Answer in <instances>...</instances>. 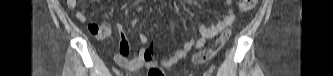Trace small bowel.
<instances>
[{
  "label": "small bowel",
  "instance_id": "1",
  "mask_svg": "<svg viewBox=\"0 0 333 76\" xmlns=\"http://www.w3.org/2000/svg\"><path fill=\"white\" fill-rule=\"evenodd\" d=\"M90 3H100V0H91ZM227 12L222 20L216 25L208 27L202 22H197L199 31V38H190L184 42L181 48L174 51L171 55L163 56L159 59L154 58V47L149 41L148 37L144 34L139 35V41L144 45L138 55L132 59L128 58V44L125 40L124 33L120 29L118 23H102L90 22L88 29L91 34L94 35L95 39H104L110 36L113 30H116L119 35V50L114 56L115 62L125 68L128 71H139L142 68H147L146 76H165L164 68H170L184 59L191 49H200L205 46L208 40L216 37L220 32L227 29L235 19L234 9L232 7V1L227 0ZM67 6L71 10H76V19L81 22H87L86 15L81 11L77 10V0H67ZM136 25V21H132V26Z\"/></svg>",
  "mask_w": 333,
  "mask_h": 76
}]
</instances>
